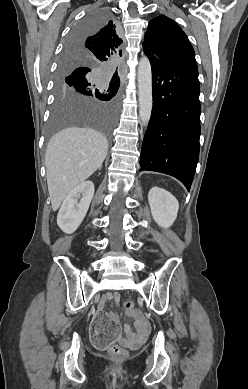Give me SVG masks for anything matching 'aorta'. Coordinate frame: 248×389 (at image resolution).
I'll return each instance as SVG.
<instances>
[{"mask_svg": "<svg viewBox=\"0 0 248 389\" xmlns=\"http://www.w3.org/2000/svg\"><path fill=\"white\" fill-rule=\"evenodd\" d=\"M138 100H139V118L141 123L146 126L152 112V72L149 59L143 56L138 65Z\"/></svg>", "mask_w": 248, "mask_h": 389, "instance_id": "obj_1", "label": "aorta"}]
</instances>
